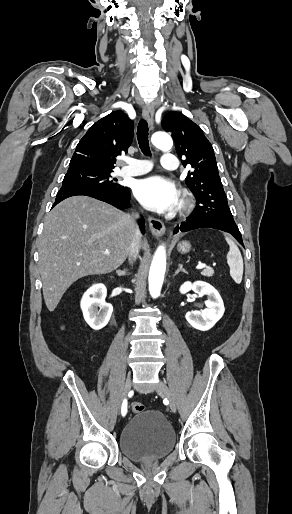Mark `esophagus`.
Masks as SVG:
<instances>
[{
  "instance_id": "esophagus-1",
  "label": "esophagus",
  "mask_w": 292,
  "mask_h": 514,
  "mask_svg": "<svg viewBox=\"0 0 292 514\" xmlns=\"http://www.w3.org/2000/svg\"><path fill=\"white\" fill-rule=\"evenodd\" d=\"M142 115L144 120L148 122L150 126L154 124V107L153 105H145L143 107ZM148 224L150 232L155 237H161L165 232V226L160 219H156L154 217L148 218Z\"/></svg>"
}]
</instances>
